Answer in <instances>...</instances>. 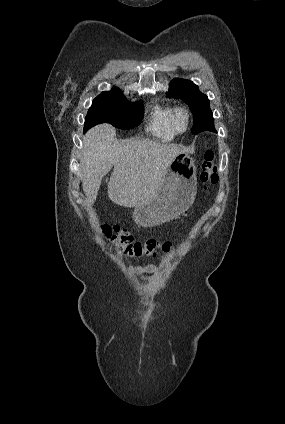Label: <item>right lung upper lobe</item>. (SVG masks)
Masks as SVG:
<instances>
[{
	"label": "right lung upper lobe",
	"instance_id": "1",
	"mask_svg": "<svg viewBox=\"0 0 285 424\" xmlns=\"http://www.w3.org/2000/svg\"><path fill=\"white\" fill-rule=\"evenodd\" d=\"M116 90H119V89H117V88H115V87L112 89V91H116Z\"/></svg>",
	"mask_w": 285,
	"mask_h": 424
}]
</instances>
